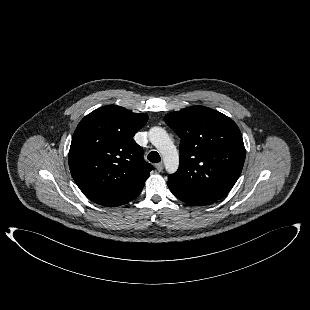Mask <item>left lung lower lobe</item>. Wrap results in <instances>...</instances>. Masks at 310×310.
<instances>
[{
  "mask_svg": "<svg viewBox=\"0 0 310 310\" xmlns=\"http://www.w3.org/2000/svg\"><path fill=\"white\" fill-rule=\"evenodd\" d=\"M168 187L170 189V191L181 201L190 204V205H196V206H203V205H209L214 203L216 200L215 199H211V198H206L203 196H197L195 194H190V193H186L181 191L180 189L170 185L169 183Z\"/></svg>",
  "mask_w": 310,
  "mask_h": 310,
  "instance_id": "1",
  "label": "left lung lower lobe"
}]
</instances>
